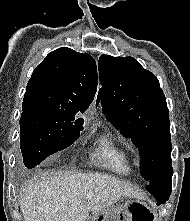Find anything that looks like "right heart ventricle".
Masks as SVG:
<instances>
[{
    "label": "right heart ventricle",
    "mask_w": 190,
    "mask_h": 221,
    "mask_svg": "<svg viewBox=\"0 0 190 221\" xmlns=\"http://www.w3.org/2000/svg\"><path fill=\"white\" fill-rule=\"evenodd\" d=\"M93 157L102 167L114 173L128 175L133 171L131 154L112 135L107 134L97 140Z\"/></svg>",
    "instance_id": "right-heart-ventricle-1"
}]
</instances>
